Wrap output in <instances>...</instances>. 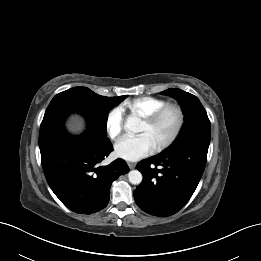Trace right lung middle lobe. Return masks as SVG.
I'll return each mask as SVG.
<instances>
[{"mask_svg":"<svg viewBox=\"0 0 261 261\" xmlns=\"http://www.w3.org/2000/svg\"><path fill=\"white\" fill-rule=\"evenodd\" d=\"M50 102L40 129L62 124L65 117L72 113L82 114L91 132L107 138L106 124L110 110L127 96L105 97L96 94L87 87H74L63 91Z\"/></svg>","mask_w":261,"mask_h":261,"instance_id":"dd1d6c3e","label":"right lung middle lobe"}]
</instances>
